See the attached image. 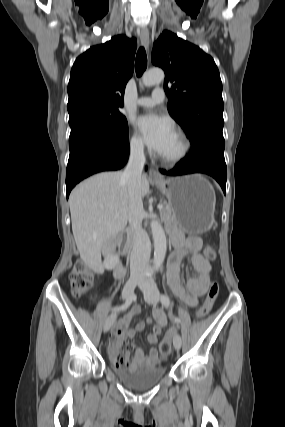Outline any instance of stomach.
Segmentation results:
<instances>
[{"label": "stomach", "mask_w": 285, "mask_h": 427, "mask_svg": "<svg viewBox=\"0 0 285 427\" xmlns=\"http://www.w3.org/2000/svg\"><path fill=\"white\" fill-rule=\"evenodd\" d=\"M167 197L173 223L189 234H201L213 225L215 192L208 180L194 174L174 177L155 183Z\"/></svg>", "instance_id": "0dacf381"}]
</instances>
